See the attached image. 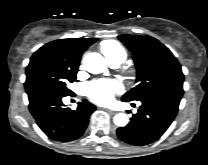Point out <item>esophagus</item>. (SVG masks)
<instances>
[{
  "label": "esophagus",
  "instance_id": "obj_1",
  "mask_svg": "<svg viewBox=\"0 0 208 165\" xmlns=\"http://www.w3.org/2000/svg\"><path fill=\"white\" fill-rule=\"evenodd\" d=\"M105 111H107L108 113L110 114H116L115 111L111 110V109H108V108H103Z\"/></svg>",
  "mask_w": 208,
  "mask_h": 165
}]
</instances>
